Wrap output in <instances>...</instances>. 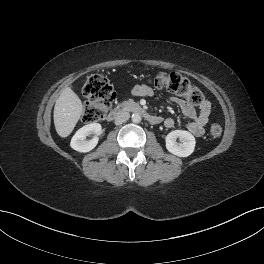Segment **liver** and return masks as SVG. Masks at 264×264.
<instances>
[{
    "label": "liver",
    "mask_w": 264,
    "mask_h": 264,
    "mask_svg": "<svg viewBox=\"0 0 264 264\" xmlns=\"http://www.w3.org/2000/svg\"><path fill=\"white\" fill-rule=\"evenodd\" d=\"M83 112V104L71 87L64 88L54 107V125L62 138L71 134Z\"/></svg>",
    "instance_id": "liver-1"
}]
</instances>
